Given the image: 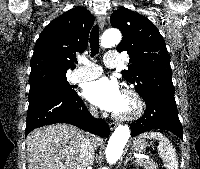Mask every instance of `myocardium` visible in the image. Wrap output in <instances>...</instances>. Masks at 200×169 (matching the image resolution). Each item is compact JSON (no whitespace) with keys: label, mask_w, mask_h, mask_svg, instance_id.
Here are the masks:
<instances>
[{"label":"myocardium","mask_w":200,"mask_h":169,"mask_svg":"<svg viewBox=\"0 0 200 169\" xmlns=\"http://www.w3.org/2000/svg\"><path fill=\"white\" fill-rule=\"evenodd\" d=\"M123 94L132 102V109L127 113H116L114 117L120 121H133L142 116L144 112V101L134 89H125Z\"/></svg>","instance_id":"f54148a6"}]
</instances>
